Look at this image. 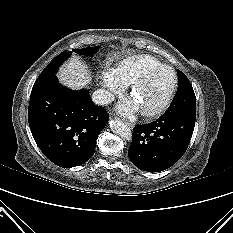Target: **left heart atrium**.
Here are the masks:
<instances>
[{"label": "left heart atrium", "instance_id": "39dd6f15", "mask_svg": "<svg viewBox=\"0 0 233 233\" xmlns=\"http://www.w3.org/2000/svg\"><path fill=\"white\" fill-rule=\"evenodd\" d=\"M119 110L123 114H132L137 110V105L133 100L125 101L119 105Z\"/></svg>", "mask_w": 233, "mask_h": 233}]
</instances>
